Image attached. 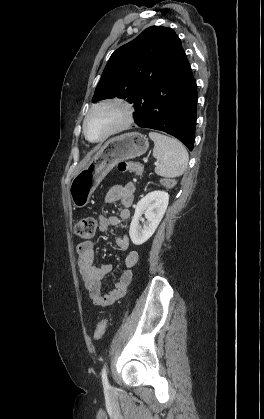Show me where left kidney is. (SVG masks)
I'll list each match as a JSON object with an SVG mask.
<instances>
[{"instance_id": "left-kidney-1", "label": "left kidney", "mask_w": 264, "mask_h": 419, "mask_svg": "<svg viewBox=\"0 0 264 419\" xmlns=\"http://www.w3.org/2000/svg\"><path fill=\"white\" fill-rule=\"evenodd\" d=\"M168 202V193L156 190L148 193L137 203L129 230L131 241L135 245L143 244L154 234L167 209ZM142 214L147 219L143 228L139 225Z\"/></svg>"}]
</instances>
